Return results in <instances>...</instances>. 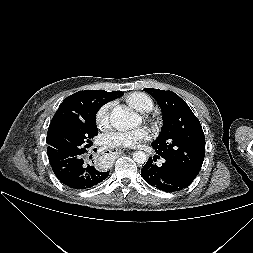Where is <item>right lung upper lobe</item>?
I'll list each match as a JSON object with an SVG mask.
<instances>
[{
    "mask_svg": "<svg viewBox=\"0 0 253 253\" xmlns=\"http://www.w3.org/2000/svg\"><path fill=\"white\" fill-rule=\"evenodd\" d=\"M123 95L121 91L106 92L104 90L79 91L74 93L60 104L50 123L47 139L61 126L80 121L94 105L105 103Z\"/></svg>",
    "mask_w": 253,
    "mask_h": 253,
    "instance_id": "1",
    "label": "right lung upper lobe"
}]
</instances>
